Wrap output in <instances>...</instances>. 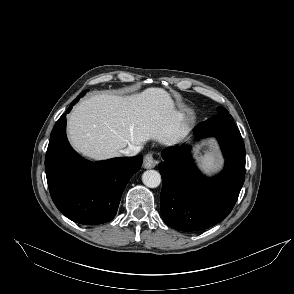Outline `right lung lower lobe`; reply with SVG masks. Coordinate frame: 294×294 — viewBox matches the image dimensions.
I'll return each instance as SVG.
<instances>
[{"instance_id": "right-lung-lower-lobe-1", "label": "right lung lower lobe", "mask_w": 294, "mask_h": 294, "mask_svg": "<svg viewBox=\"0 0 294 294\" xmlns=\"http://www.w3.org/2000/svg\"><path fill=\"white\" fill-rule=\"evenodd\" d=\"M85 94L82 92L56 122L45 157L49 191L56 207L70 220L97 225L112 220L121 195L143 157H121L92 163L70 146L66 137V114Z\"/></svg>"}]
</instances>
